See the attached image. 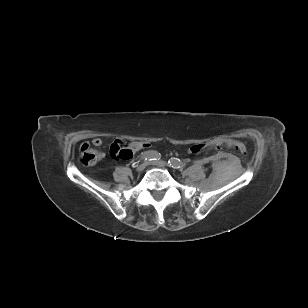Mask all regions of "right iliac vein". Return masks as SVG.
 Segmentation results:
<instances>
[{"label": "right iliac vein", "instance_id": "right-iliac-vein-1", "mask_svg": "<svg viewBox=\"0 0 308 308\" xmlns=\"http://www.w3.org/2000/svg\"><path fill=\"white\" fill-rule=\"evenodd\" d=\"M148 165V162H144L137 167L138 172H142Z\"/></svg>", "mask_w": 308, "mask_h": 308}]
</instances>
